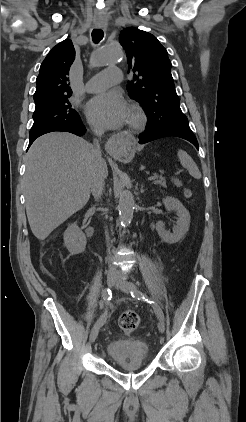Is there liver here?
<instances>
[{
  "label": "liver",
  "mask_w": 246,
  "mask_h": 422,
  "mask_svg": "<svg viewBox=\"0 0 246 422\" xmlns=\"http://www.w3.org/2000/svg\"><path fill=\"white\" fill-rule=\"evenodd\" d=\"M93 146L70 133L53 132L34 141L26 154V213L36 238L50 233L90 198ZM102 168L107 176V165Z\"/></svg>",
  "instance_id": "obj_1"
}]
</instances>
